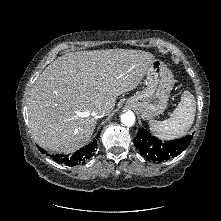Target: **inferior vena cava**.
<instances>
[{
	"instance_id": "602c4592",
	"label": "inferior vena cava",
	"mask_w": 221,
	"mask_h": 221,
	"mask_svg": "<svg viewBox=\"0 0 221 221\" xmlns=\"http://www.w3.org/2000/svg\"><path fill=\"white\" fill-rule=\"evenodd\" d=\"M106 113V110L103 107H96L93 111H92V115L95 118H102Z\"/></svg>"
}]
</instances>
